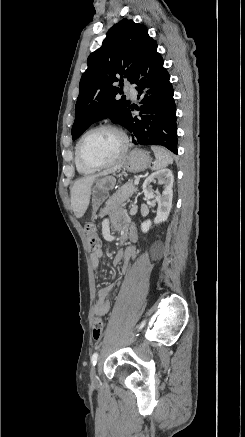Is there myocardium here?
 I'll return each instance as SVG.
<instances>
[{
	"mask_svg": "<svg viewBox=\"0 0 245 437\" xmlns=\"http://www.w3.org/2000/svg\"><path fill=\"white\" fill-rule=\"evenodd\" d=\"M104 129L112 130V131L116 132L121 137V139H122L121 151L113 160H111L109 162H106V163L90 162V161L86 160L82 154V151H81L82 143H83L84 139L89 134H91L95 131L104 130ZM129 147H130L129 138H128L126 132L122 128H120L114 124L102 123V124H98V125H95V126L89 128L81 135V137L79 138L77 145H76V154H77L79 160L81 161V163L84 164L85 166L93 168V169H104V168L111 167V166L119 163L120 161H122L125 158V156L127 155Z\"/></svg>",
	"mask_w": 245,
	"mask_h": 437,
	"instance_id": "1",
	"label": "myocardium"
}]
</instances>
